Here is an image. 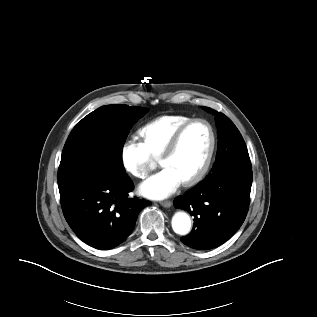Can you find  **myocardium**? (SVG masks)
<instances>
[{"mask_svg":"<svg viewBox=\"0 0 317 317\" xmlns=\"http://www.w3.org/2000/svg\"><path fill=\"white\" fill-rule=\"evenodd\" d=\"M197 123H202L208 128L209 135H210V144H209V148H208L207 154L205 156V159H204L202 165L200 166V168L196 171V173L194 175H192L188 179L182 181L184 186H192V185H195L196 183H198L206 175V173L208 172V170L210 168V165H211V162L213 159V155H214V151H215V146H216V136H215V132H214L212 125L206 119H202V118H194V119L189 120L187 123L182 125L176 131V133L173 135L170 142L168 143L167 147L165 148V150L163 151V153L159 157L160 164L165 159L171 157L178 149L179 144L182 140V137L184 136L186 131L191 126H193L194 124H197Z\"/></svg>","mask_w":317,"mask_h":317,"instance_id":"myocardium-1","label":"myocardium"}]
</instances>
